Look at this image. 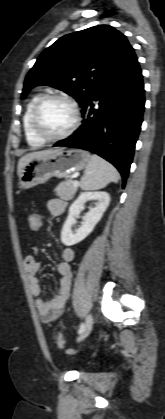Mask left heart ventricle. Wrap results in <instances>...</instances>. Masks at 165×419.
Masks as SVG:
<instances>
[{
    "label": "left heart ventricle",
    "instance_id": "1",
    "mask_svg": "<svg viewBox=\"0 0 165 419\" xmlns=\"http://www.w3.org/2000/svg\"><path fill=\"white\" fill-rule=\"evenodd\" d=\"M42 130L51 136L66 131L73 122V111L70 106L62 101H47L39 113Z\"/></svg>",
    "mask_w": 165,
    "mask_h": 419
}]
</instances>
